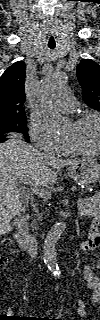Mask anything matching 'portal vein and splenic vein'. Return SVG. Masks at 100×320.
I'll list each match as a JSON object with an SVG mask.
<instances>
[{
  "mask_svg": "<svg viewBox=\"0 0 100 320\" xmlns=\"http://www.w3.org/2000/svg\"><path fill=\"white\" fill-rule=\"evenodd\" d=\"M17 183L29 184L31 186V190L40 198L49 199L51 197V192L39 187V185L33 183L32 181L19 180Z\"/></svg>",
  "mask_w": 100,
  "mask_h": 320,
  "instance_id": "1",
  "label": "portal vein and splenic vein"
}]
</instances>
